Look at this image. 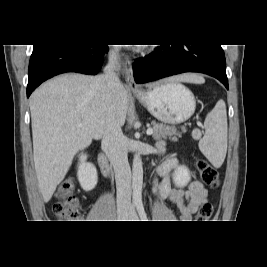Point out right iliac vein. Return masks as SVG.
<instances>
[{
  "label": "right iliac vein",
  "instance_id": "obj_1",
  "mask_svg": "<svg viewBox=\"0 0 267 267\" xmlns=\"http://www.w3.org/2000/svg\"><path fill=\"white\" fill-rule=\"evenodd\" d=\"M117 216L119 220H124L127 218L128 212L126 210L118 211Z\"/></svg>",
  "mask_w": 267,
  "mask_h": 267
}]
</instances>
